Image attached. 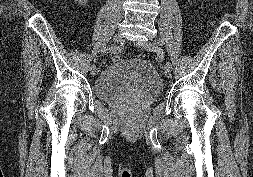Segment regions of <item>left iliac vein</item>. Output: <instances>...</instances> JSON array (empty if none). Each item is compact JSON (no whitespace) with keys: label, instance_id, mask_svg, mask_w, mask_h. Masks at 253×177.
Listing matches in <instances>:
<instances>
[{"label":"left iliac vein","instance_id":"1","mask_svg":"<svg viewBox=\"0 0 253 177\" xmlns=\"http://www.w3.org/2000/svg\"><path fill=\"white\" fill-rule=\"evenodd\" d=\"M138 46L147 52L155 51V46L150 41H146V40L141 41L138 43ZM171 69H172V66L165 65V67H164V74L168 79H170L172 77Z\"/></svg>","mask_w":253,"mask_h":177}]
</instances>
